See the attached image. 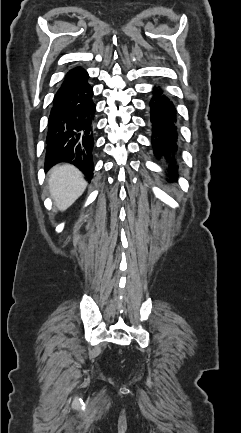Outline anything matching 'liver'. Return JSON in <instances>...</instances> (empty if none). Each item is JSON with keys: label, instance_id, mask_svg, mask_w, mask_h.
I'll list each match as a JSON object with an SVG mask.
<instances>
[{"label": "liver", "instance_id": "liver-1", "mask_svg": "<svg viewBox=\"0 0 241 433\" xmlns=\"http://www.w3.org/2000/svg\"><path fill=\"white\" fill-rule=\"evenodd\" d=\"M48 183L54 204L60 211L68 209L87 186L83 174L69 164L54 167L50 171Z\"/></svg>", "mask_w": 241, "mask_h": 433}]
</instances>
